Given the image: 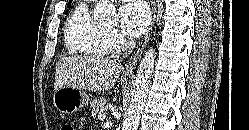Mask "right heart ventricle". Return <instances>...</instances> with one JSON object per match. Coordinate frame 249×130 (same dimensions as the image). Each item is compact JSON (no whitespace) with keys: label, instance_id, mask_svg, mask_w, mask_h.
Returning a JSON list of instances; mask_svg holds the SVG:
<instances>
[{"label":"right heart ventricle","instance_id":"e07e8e85","mask_svg":"<svg viewBox=\"0 0 249 130\" xmlns=\"http://www.w3.org/2000/svg\"><path fill=\"white\" fill-rule=\"evenodd\" d=\"M64 42L74 55L100 57L110 51L107 30L93 18L90 0H81L67 18Z\"/></svg>","mask_w":249,"mask_h":130}]
</instances>
